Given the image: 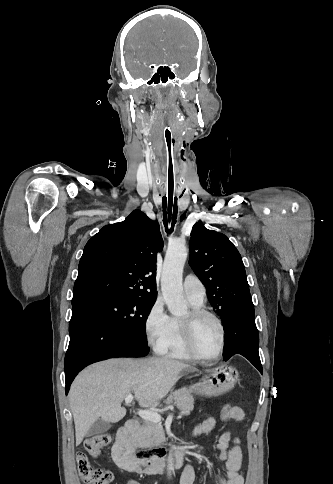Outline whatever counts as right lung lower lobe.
Returning a JSON list of instances; mask_svg holds the SVG:
<instances>
[{
  "label": "right lung lower lobe",
  "instance_id": "obj_1",
  "mask_svg": "<svg viewBox=\"0 0 333 484\" xmlns=\"http://www.w3.org/2000/svg\"><path fill=\"white\" fill-rule=\"evenodd\" d=\"M72 305L70 342L64 362L66 394L75 376L93 362L148 354L147 346L115 327L94 308L80 302Z\"/></svg>",
  "mask_w": 333,
  "mask_h": 484
}]
</instances>
